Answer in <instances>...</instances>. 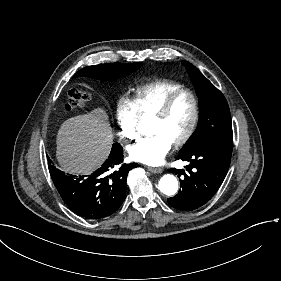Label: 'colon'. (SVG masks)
Instances as JSON below:
<instances>
[{"label": "colon", "instance_id": "obj_1", "mask_svg": "<svg viewBox=\"0 0 281 281\" xmlns=\"http://www.w3.org/2000/svg\"><path fill=\"white\" fill-rule=\"evenodd\" d=\"M90 101V95L84 91L72 89L65 105L66 109L73 111L77 108L84 107Z\"/></svg>", "mask_w": 281, "mask_h": 281}]
</instances>
